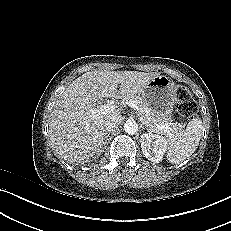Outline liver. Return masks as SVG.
<instances>
[{
	"mask_svg": "<svg viewBox=\"0 0 231 231\" xmlns=\"http://www.w3.org/2000/svg\"><path fill=\"white\" fill-rule=\"evenodd\" d=\"M157 72L91 71L75 79L59 97L49 121V139L56 155L70 163L98 157L107 136L105 123L121 115L118 109L91 116L103 98L140 94Z\"/></svg>",
	"mask_w": 231,
	"mask_h": 231,
	"instance_id": "obj_1",
	"label": "liver"
}]
</instances>
